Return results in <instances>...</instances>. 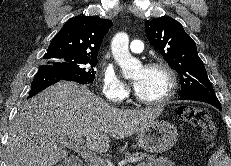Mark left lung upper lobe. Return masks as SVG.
I'll use <instances>...</instances> for the list:
<instances>
[{
  "label": "left lung upper lobe",
  "mask_w": 231,
  "mask_h": 166,
  "mask_svg": "<svg viewBox=\"0 0 231 166\" xmlns=\"http://www.w3.org/2000/svg\"><path fill=\"white\" fill-rule=\"evenodd\" d=\"M146 36L180 76V97L193 93H215L195 42L182 25L171 17L145 22Z\"/></svg>",
  "instance_id": "left-lung-upper-lobe-1"
}]
</instances>
